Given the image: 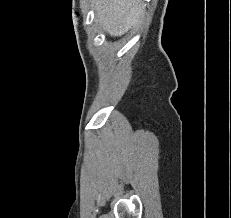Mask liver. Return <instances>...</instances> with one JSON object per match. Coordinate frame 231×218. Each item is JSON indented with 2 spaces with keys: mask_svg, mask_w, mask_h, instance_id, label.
Returning <instances> with one entry per match:
<instances>
[{
  "mask_svg": "<svg viewBox=\"0 0 231 218\" xmlns=\"http://www.w3.org/2000/svg\"><path fill=\"white\" fill-rule=\"evenodd\" d=\"M96 19L111 36L126 33L139 19L140 0H92Z\"/></svg>",
  "mask_w": 231,
  "mask_h": 218,
  "instance_id": "1",
  "label": "liver"
}]
</instances>
